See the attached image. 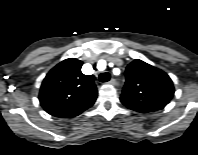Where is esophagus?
Here are the masks:
<instances>
[{
	"mask_svg": "<svg viewBox=\"0 0 198 155\" xmlns=\"http://www.w3.org/2000/svg\"><path fill=\"white\" fill-rule=\"evenodd\" d=\"M108 83L111 84V85H115L116 84V80L115 79H111Z\"/></svg>",
	"mask_w": 198,
	"mask_h": 155,
	"instance_id": "1",
	"label": "esophagus"
}]
</instances>
